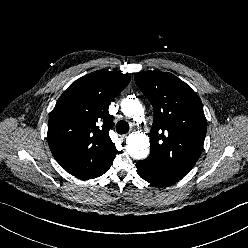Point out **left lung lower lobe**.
<instances>
[{
  "instance_id": "1",
  "label": "left lung lower lobe",
  "mask_w": 248,
  "mask_h": 248,
  "mask_svg": "<svg viewBox=\"0 0 248 248\" xmlns=\"http://www.w3.org/2000/svg\"><path fill=\"white\" fill-rule=\"evenodd\" d=\"M136 167L141 178L156 186H166L182 179L181 176L169 171L150 157L138 161Z\"/></svg>"
}]
</instances>
